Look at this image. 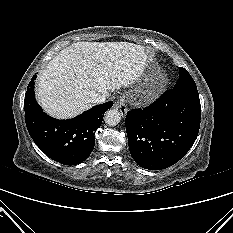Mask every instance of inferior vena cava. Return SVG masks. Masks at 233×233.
Segmentation results:
<instances>
[{
    "label": "inferior vena cava",
    "mask_w": 233,
    "mask_h": 233,
    "mask_svg": "<svg viewBox=\"0 0 233 233\" xmlns=\"http://www.w3.org/2000/svg\"><path fill=\"white\" fill-rule=\"evenodd\" d=\"M109 96L108 92L102 93V94H96L92 98V102L95 104H100L106 101L107 97Z\"/></svg>",
    "instance_id": "inferior-vena-cava-1"
}]
</instances>
